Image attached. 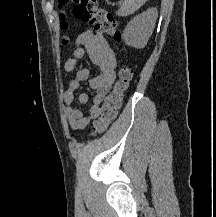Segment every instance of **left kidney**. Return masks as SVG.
Wrapping results in <instances>:
<instances>
[{
  "instance_id": "obj_1",
  "label": "left kidney",
  "mask_w": 216,
  "mask_h": 217,
  "mask_svg": "<svg viewBox=\"0 0 216 217\" xmlns=\"http://www.w3.org/2000/svg\"><path fill=\"white\" fill-rule=\"evenodd\" d=\"M156 18L155 8L147 9L134 17L123 31L125 43L135 48L145 47L155 27Z\"/></svg>"
}]
</instances>
